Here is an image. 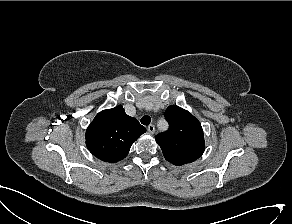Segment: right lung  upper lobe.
<instances>
[{
  "mask_svg": "<svg viewBox=\"0 0 292 224\" xmlns=\"http://www.w3.org/2000/svg\"><path fill=\"white\" fill-rule=\"evenodd\" d=\"M144 132L146 129L137 119L128 116L119 105L96 115L87 128L86 145L96 158L113 163L125 158Z\"/></svg>",
  "mask_w": 292,
  "mask_h": 224,
  "instance_id": "cb5924a9",
  "label": "right lung upper lobe"
}]
</instances>
